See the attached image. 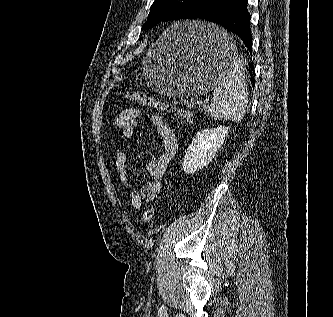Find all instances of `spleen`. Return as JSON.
Segmentation results:
<instances>
[{
	"label": "spleen",
	"instance_id": "3e777b00",
	"mask_svg": "<svg viewBox=\"0 0 333 317\" xmlns=\"http://www.w3.org/2000/svg\"><path fill=\"white\" fill-rule=\"evenodd\" d=\"M213 28L215 29V33L212 35L213 42L216 46L222 44L227 46L229 63L213 91L208 113L216 119L239 122L245 115L248 103L246 69L242 57L235 52V44L228 33L216 25Z\"/></svg>",
	"mask_w": 333,
	"mask_h": 317
}]
</instances>
